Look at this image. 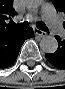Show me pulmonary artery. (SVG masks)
Masks as SVG:
<instances>
[{
	"mask_svg": "<svg viewBox=\"0 0 65 89\" xmlns=\"http://www.w3.org/2000/svg\"><path fill=\"white\" fill-rule=\"evenodd\" d=\"M41 13L51 30L55 33H61V23L54 7L51 4L46 3L43 5Z\"/></svg>",
	"mask_w": 65,
	"mask_h": 89,
	"instance_id": "pulmonary-artery-1",
	"label": "pulmonary artery"
}]
</instances>
